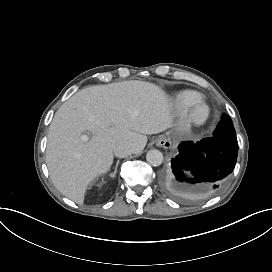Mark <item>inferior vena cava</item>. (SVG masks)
Returning <instances> with one entry per match:
<instances>
[{
    "label": "inferior vena cava",
    "mask_w": 272,
    "mask_h": 272,
    "mask_svg": "<svg viewBox=\"0 0 272 272\" xmlns=\"http://www.w3.org/2000/svg\"><path fill=\"white\" fill-rule=\"evenodd\" d=\"M113 151L116 157L124 158L134 153V146L127 141H123L117 144Z\"/></svg>",
    "instance_id": "602c4592"
}]
</instances>
